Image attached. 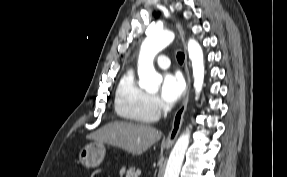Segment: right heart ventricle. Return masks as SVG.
Returning a JSON list of instances; mask_svg holds the SVG:
<instances>
[{
    "label": "right heart ventricle",
    "instance_id": "e07e8e85",
    "mask_svg": "<svg viewBox=\"0 0 287 177\" xmlns=\"http://www.w3.org/2000/svg\"><path fill=\"white\" fill-rule=\"evenodd\" d=\"M114 108L125 121L151 123L157 118L151 107V97L137 84L132 70H128L118 83Z\"/></svg>",
    "mask_w": 287,
    "mask_h": 177
}]
</instances>
